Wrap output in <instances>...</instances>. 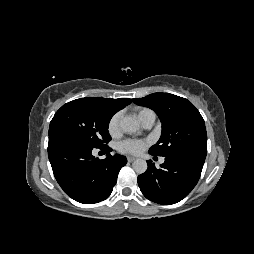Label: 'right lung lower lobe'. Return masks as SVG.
<instances>
[{
  "mask_svg": "<svg viewBox=\"0 0 254 254\" xmlns=\"http://www.w3.org/2000/svg\"><path fill=\"white\" fill-rule=\"evenodd\" d=\"M93 149L76 139L49 137L48 156L57 182L68 196L83 204L108 198L120 169L127 163L122 155L111 156L108 146L99 148L107 154L102 160L92 155Z\"/></svg>",
  "mask_w": 254,
  "mask_h": 254,
  "instance_id": "right-lung-lower-lobe-1",
  "label": "right lung lower lobe"
}]
</instances>
